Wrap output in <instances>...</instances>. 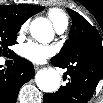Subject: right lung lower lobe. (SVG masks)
<instances>
[{
  "label": "right lung lower lobe",
  "mask_w": 103,
  "mask_h": 103,
  "mask_svg": "<svg viewBox=\"0 0 103 103\" xmlns=\"http://www.w3.org/2000/svg\"><path fill=\"white\" fill-rule=\"evenodd\" d=\"M34 74L32 63L16 56L12 67L0 70V103H15L21 86Z\"/></svg>",
  "instance_id": "1"
}]
</instances>
